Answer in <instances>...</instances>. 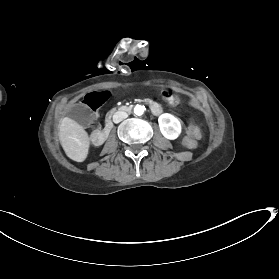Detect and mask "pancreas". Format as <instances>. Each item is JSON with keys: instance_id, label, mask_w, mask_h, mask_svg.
I'll return each instance as SVG.
<instances>
[{"instance_id": "cf45deb5", "label": "pancreas", "mask_w": 279, "mask_h": 279, "mask_svg": "<svg viewBox=\"0 0 279 279\" xmlns=\"http://www.w3.org/2000/svg\"><path fill=\"white\" fill-rule=\"evenodd\" d=\"M115 109H112L110 112L113 113Z\"/></svg>"}]
</instances>
